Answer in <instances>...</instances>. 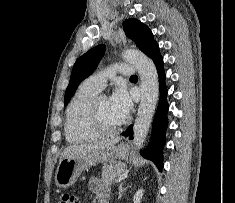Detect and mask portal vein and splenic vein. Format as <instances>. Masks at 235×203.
Wrapping results in <instances>:
<instances>
[{
	"label": "portal vein and splenic vein",
	"instance_id": "18ae733b",
	"mask_svg": "<svg viewBox=\"0 0 235 203\" xmlns=\"http://www.w3.org/2000/svg\"><path fill=\"white\" fill-rule=\"evenodd\" d=\"M126 177H127V173L121 174V175L117 178L116 182L121 181V180L125 179Z\"/></svg>",
	"mask_w": 235,
	"mask_h": 203
}]
</instances>
